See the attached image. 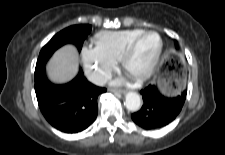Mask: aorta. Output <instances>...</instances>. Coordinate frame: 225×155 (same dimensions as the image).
Listing matches in <instances>:
<instances>
[{
  "mask_svg": "<svg viewBox=\"0 0 225 155\" xmlns=\"http://www.w3.org/2000/svg\"><path fill=\"white\" fill-rule=\"evenodd\" d=\"M125 106L129 111H138L141 107L140 96L135 92H128L125 96Z\"/></svg>",
  "mask_w": 225,
  "mask_h": 155,
  "instance_id": "aorta-1",
  "label": "aorta"
}]
</instances>
